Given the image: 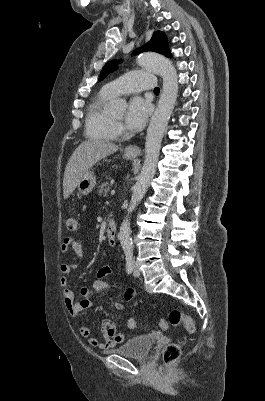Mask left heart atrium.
I'll return each mask as SVG.
<instances>
[{"instance_id": "left-heart-atrium-1", "label": "left heart atrium", "mask_w": 265, "mask_h": 401, "mask_svg": "<svg viewBox=\"0 0 265 401\" xmlns=\"http://www.w3.org/2000/svg\"><path fill=\"white\" fill-rule=\"evenodd\" d=\"M151 112L149 104L141 97H133L127 107L126 122L132 130H140Z\"/></svg>"}]
</instances>
